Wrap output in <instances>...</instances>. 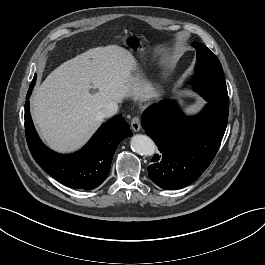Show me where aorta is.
Segmentation results:
<instances>
[{"instance_id": "obj_1", "label": "aorta", "mask_w": 265, "mask_h": 265, "mask_svg": "<svg viewBox=\"0 0 265 265\" xmlns=\"http://www.w3.org/2000/svg\"><path fill=\"white\" fill-rule=\"evenodd\" d=\"M130 144L132 150L140 155L151 156L155 153V143L150 137L146 135H134L131 138Z\"/></svg>"}]
</instances>
